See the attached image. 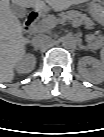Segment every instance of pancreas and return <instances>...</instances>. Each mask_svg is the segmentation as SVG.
I'll use <instances>...</instances> for the list:
<instances>
[{"instance_id": "cf45deb5", "label": "pancreas", "mask_w": 104, "mask_h": 137, "mask_svg": "<svg viewBox=\"0 0 104 137\" xmlns=\"http://www.w3.org/2000/svg\"><path fill=\"white\" fill-rule=\"evenodd\" d=\"M49 19L52 20L54 23L71 22L75 26L85 24L86 27H90L93 24L90 18H88L85 14L77 11H68L66 13H62L59 20H56L54 17H49ZM87 40L92 42L91 45L93 47H99V42L96 40L94 35L87 36Z\"/></svg>"}]
</instances>
